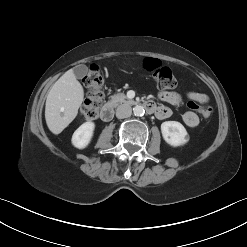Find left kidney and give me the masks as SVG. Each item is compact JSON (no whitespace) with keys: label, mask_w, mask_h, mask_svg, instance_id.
Returning <instances> with one entry per match:
<instances>
[{"label":"left kidney","mask_w":247,"mask_h":247,"mask_svg":"<svg viewBox=\"0 0 247 247\" xmlns=\"http://www.w3.org/2000/svg\"><path fill=\"white\" fill-rule=\"evenodd\" d=\"M164 140L173 147L186 144L189 140L185 127L177 121H165L161 124Z\"/></svg>","instance_id":"1"}]
</instances>
